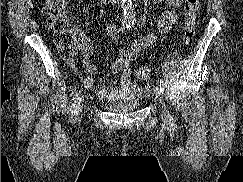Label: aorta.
I'll list each match as a JSON object with an SVG mask.
<instances>
[{
    "instance_id": "762f6f07",
    "label": "aorta",
    "mask_w": 243,
    "mask_h": 182,
    "mask_svg": "<svg viewBox=\"0 0 243 182\" xmlns=\"http://www.w3.org/2000/svg\"><path fill=\"white\" fill-rule=\"evenodd\" d=\"M123 9V18L125 21H132L135 18V12L132 7V0H121Z\"/></svg>"
}]
</instances>
